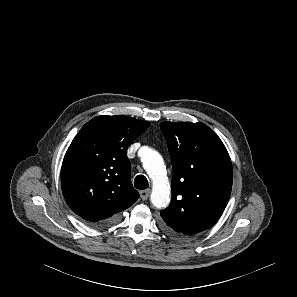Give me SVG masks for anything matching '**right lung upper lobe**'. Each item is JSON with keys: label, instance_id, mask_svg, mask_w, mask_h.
<instances>
[{"label": "right lung upper lobe", "instance_id": "1", "mask_svg": "<svg viewBox=\"0 0 297 297\" xmlns=\"http://www.w3.org/2000/svg\"><path fill=\"white\" fill-rule=\"evenodd\" d=\"M150 124L126 116H98L69 146L61 188L69 207L95 224L118 215L139 198L131 183L127 148Z\"/></svg>", "mask_w": 297, "mask_h": 297}]
</instances>
